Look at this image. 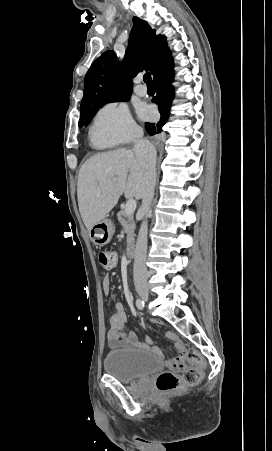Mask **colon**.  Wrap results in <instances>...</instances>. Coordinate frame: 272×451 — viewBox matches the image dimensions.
Returning <instances> with one entry per match:
<instances>
[{
  "instance_id": "5ec220e1",
  "label": "colon",
  "mask_w": 272,
  "mask_h": 451,
  "mask_svg": "<svg viewBox=\"0 0 272 451\" xmlns=\"http://www.w3.org/2000/svg\"><path fill=\"white\" fill-rule=\"evenodd\" d=\"M101 267L108 268L115 265L117 255L109 251H101L98 254ZM171 369L163 371L155 380V387L161 392H172L184 386H192L199 380V374H203L204 360L196 358L193 350L181 352L172 360Z\"/></svg>"
}]
</instances>
